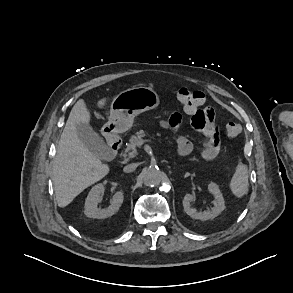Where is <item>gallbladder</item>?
Segmentation results:
<instances>
[{
    "mask_svg": "<svg viewBox=\"0 0 293 293\" xmlns=\"http://www.w3.org/2000/svg\"><path fill=\"white\" fill-rule=\"evenodd\" d=\"M77 134L84 146L99 159L104 160L110 154L104 140L94 131V129L85 123L77 124Z\"/></svg>",
    "mask_w": 293,
    "mask_h": 293,
    "instance_id": "1",
    "label": "gallbladder"
}]
</instances>
